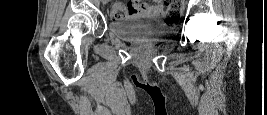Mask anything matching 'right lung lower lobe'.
<instances>
[{
	"label": "right lung lower lobe",
	"instance_id": "obj_1",
	"mask_svg": "<svg viewBox=\"0 0 267 115\" xmlns=\"http://www.w3.org/2000/svg\"><path fill=\"white\" fill-rule=\"evenodd\" d=\"M145 90H147V91H153L154 89H152V88H147V87H143Z\"/></svg>",
	"mask_w": 267,
	"mask_h": 115
}]
</instances>
